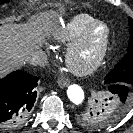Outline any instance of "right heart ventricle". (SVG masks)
I'll return each mask as SVG.
<instances>
[{"label":"right heart ventricle","instance_id":"right-heart-ventricle-1","mask_svg":"<svg viewBox=\"0 0 133 133\" xmlns=\"http://www.w3.org/2000/svg\"><path fill=\"white\" fill-rule=\"evenodd\" d=\"M94 20L96 19L89 14H76L54 32L53 39L60 44L68 45Z\"/></svg>","mask_w":133,"mask_h":133}]
</instances>
